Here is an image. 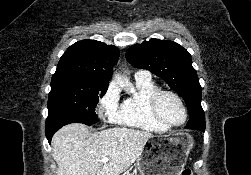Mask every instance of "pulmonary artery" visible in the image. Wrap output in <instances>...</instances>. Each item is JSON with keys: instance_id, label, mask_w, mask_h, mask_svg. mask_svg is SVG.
I'll return each instance as SVG.
<instances>
[{"instance_id": "1", "label": "pulmonary artery", "mask_w": 251, "mask_h": 175, "mask_svg": "<svg viewBox=\"0 0 251 175\" xmlns=\"http://www.w3.org/2000/svg\"><path fill=\"white\" fill-rule=\"evenodd\" d=\"M134 78L136 80H141V81H151V74L147 71H138L134 74Z\"/></svg>"}]
</instances>
